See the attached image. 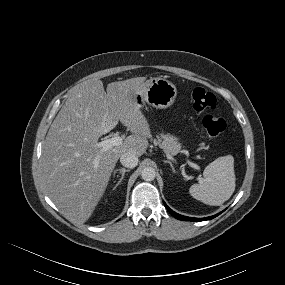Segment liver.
<instances>
[{
  "label": "liver",
  "instance_id": "obj_1",
  "mask_svg": "<svg viewBox=\"0 0 285 285\" xmlns=\"http://www.w3.org/2000/svg\"><path fill=\"white\" fill-rule=\"evenodd\" d=\"M145 80L112 82L107 92L101 80H86L70 90L51 124L43 145L41 179L69 221L84 223L90 218L121 154L145 153L151 131L136 100ZM119 121L132 135L107 151L97 148L98 139Z\"/></svg>",
  "mask_w": 285,
  "mask_h": 285
}]
</instances>
